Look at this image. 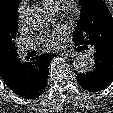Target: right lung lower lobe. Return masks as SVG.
<instances>
[{"label":"right lung lower lobe","instance_id":"obj_1","mask_svg":"<svg viewBox=\"0 0 113 113\" xmlns=\"http://www.w3.org/2000/svg\"><path fill=\"white\" fill-rule=\"evenodd\" d=\"M53 54H42L26 62L17 61L15 71L4 82L25 99L39 97L47 87L48 66Z\"/></svg>","mask_w":113,"mask_h":113}]
</instances>
